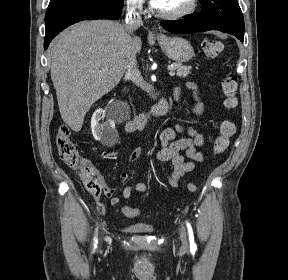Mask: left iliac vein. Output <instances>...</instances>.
I'll use <instances>...</instances> for the list:
<instances>
[{"instance_id":"1","label":"left iliac vein","mask_w":288,"mask_h":280,"mask_svg":"<svg viewBox=\"0 0 288 280\" xmlns=\"http://www.w3.org/2000/svg\"><path fill=\"white\" fill-rule=\"evenodd\" d=\"M180 239H181L182 245L186 247L187 246V234H186V230L184 227H182L180 230Z\"/></svg>"}]
</instances>
